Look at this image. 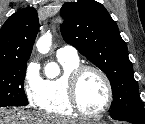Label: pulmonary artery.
<instances>
[{
	"instance_id": "obj_1",
	"label": "pulmonary artery",
	"mask_w": 145,
	"mask_h": 124,
	"mask_svg": "<svg viewBox=\"0 0 145 124\" xmlns=\"http://www.w3.org/2000/svg\"><path fill=\"white\" fill-rule=\"evenodd\" d=\"M58 58L63 59H78L77 50L72 46H63L57 50Z\"/></svg>"
}]
</instances>
